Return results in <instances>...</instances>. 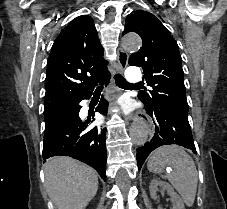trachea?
Instances as JSON below:
<instances>
[{
  "mask_svg": "<svg viewBox=\"0 0 227 209\" xmlns=\"http://www.w3.org/2000/svg\"><path fill=\"white\" fill-rule=\"evenodd\" d=\"M114 78H115V81H116V85H118V87H121L122 89H127V88H131V87H135V86H138V87L140 86L139 84H130L120 74H116L114 76ZM102 90H103V86L101 85V86L96 88L95 92H100Z\"/></svg>",
  "mask_w": 227,
  "mask_h": 209,
  "instance_id": "obj_1",
  "label": "trachea"
}]
</instances>
